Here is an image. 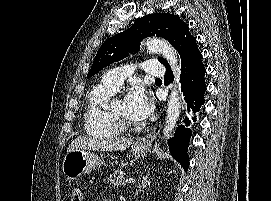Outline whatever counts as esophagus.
Returning <instances> with one entry per match:
<instances>
[{
    "instance_id": "1",
    "label": "esophagus",
    "mask_w": 271,
    "mask_h": 201,
    "mask_svg": "<svg viewBox=\"0 0 271 201\" xmlns=\"http://www.w3.org/2000/svg\"><path fill=\"white\" fill-rule=\"evenodd\" d=\"M161 127H162V123H161V120H159L156 125L153 127V129L150 131L149 134H147L144 138L140 139L138 142H137V145H140V146H145V145H148L150 144V142L156 138V136L159 134L160 130H161Z\"/></svg>"
}]
</instances>
